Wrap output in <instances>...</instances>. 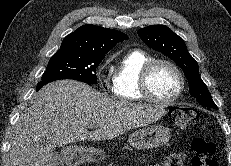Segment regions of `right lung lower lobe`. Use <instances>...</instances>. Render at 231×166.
I'll return each instance as SVG.
<instances>
[{"label":"right lung lower lobe","instance_id":"right-lung-lower-lobe-1","mask_svg":"<svg viewBox=\"0 0 231 166\" xmlns=\"http://www.w3.org/2000/svg\"><path fill=\"white\" fill-rule=\"evenodd\" d=\"M48 82H43V81H41V82H39L38 83V85H37V87H36V91H38L39 89H41L44 85H46Z\"/></svg>","mask_w":231,"mask_h":166}]
</instances>
